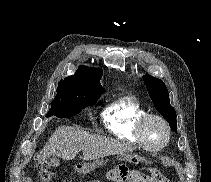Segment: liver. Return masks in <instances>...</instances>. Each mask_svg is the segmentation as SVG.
<instances>
[{"mask_svg": "<svg viewBox=\"0 0 211 182\" xmlns=\"http://www.w3.org/2000/svg\"><path fill=\"white\" fill-rule=\"evenodd\" d=\"M83 151L84 160H97L105 156L124 154L134 148L124 142L101 135L89 134L79 128L59 126L41 151V158L49 156L72 160Z\"/></svg>", "mask_w": 211, "mask_h": 182, "instance_id": "6515ba94", "label": "liver"}]
</instances>
